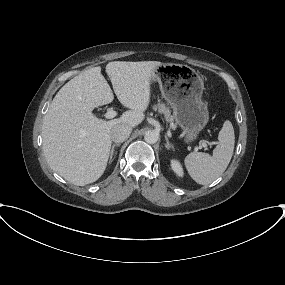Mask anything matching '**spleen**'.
<instances>
[{"instance_id":"spleen-1","label":"spleen","mask_w":285,"mask_h":285,"mask_svg":"<svg viewBox=\"0 0 285 285\" xmlns=\"http://www.w3.org/2000/svg\"><path fill=\"white\" fill-rule=\"evenodd\" d=\"M218 140L212 156L203 152H193L185 157L186 169L198 184L212 183L223 174L230 163L234 151L235 134L229 120L224 122Z\"/></svg>"}]
</instances>
